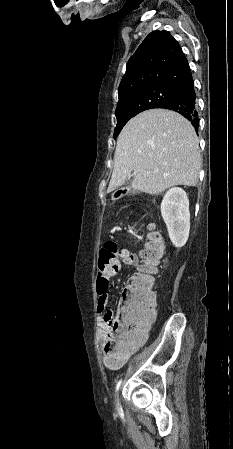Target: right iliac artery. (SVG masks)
Wrapping results in <instances>:
<instances>
[{
    "instance_id": "82829eb1",
    "label": "right iliac artery",
    "mask_w": 233,
    "mask_h": 449,
    "mask_svg": "<svg viewBox=\"0 0 233 449\" xmlns=\"http://www.w3.org/2000/svg\"><path fill=\"white\" fill-rule=\"evenodd\" d=\"M121 382H122V380H120V381L117 383V385H116V392L119 390V387H120V385H121Z\"/></svg>"
}]
</instances>
